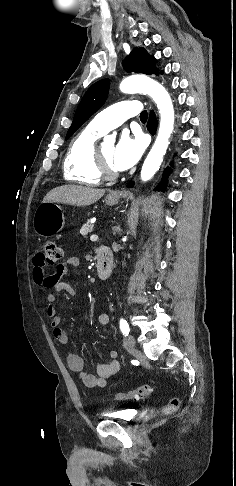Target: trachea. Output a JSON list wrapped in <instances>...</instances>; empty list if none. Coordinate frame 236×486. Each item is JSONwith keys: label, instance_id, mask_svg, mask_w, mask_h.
<instances>
[{"label": "trachea", "instance_id": "3493384b", "mask_svg": "<svg viewBox=\"0 0 236 486\" xmlns=\"http://www.w3.org/2000/svg\"><path fill=\"white\" fill-rule=\"evenodd\" d=\"M140 119H141V120H147V111H143V112L140 114Z\"/></svg>", "mask_w": 236, "mask_h": 486}]
</instances>
